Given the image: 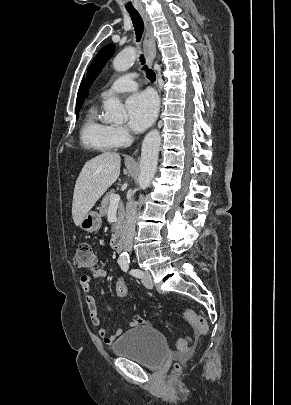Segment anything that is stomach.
Returning a JSON list of instances; mask_svg holds the SVG:
<instances>
[{"mask_svg":"<svg viewBox=\"0 0 291 405\" xmlns=\"http://www.w3.org/2000/svg\"><path fill=\"white\" fill-rule=\"evenodd\" d=\"M101 216L96 211H89L80 222L79 226L82 230L87 232L98 231L101 227Z\"/></svg>","mask_w":291,"mask_h":405,"instance_id":"1","label":"stomach"}]
</instances>
